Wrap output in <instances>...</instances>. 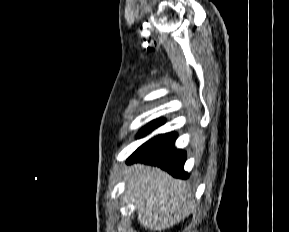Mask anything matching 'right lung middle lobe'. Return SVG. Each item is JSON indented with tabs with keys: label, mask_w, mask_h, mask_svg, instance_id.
Listing matches in <instances>:
<instances>
[{
	"label": "right lung middle lobe",
	"mask_w": 289,
	"mask_h": 232,
	"mask_svg": "<svg viewBox=\"0 0 289 232\" xmlns=\"http://www.w3.org/2000/svg\"><path fill=\"white\" fill-rule=\"evenodd\" d=\"M165 123L164 119H159L152 121L150 124H148L146 127H144L138 134V137L145 136L149 132H151L153 129L157 128L158 126L162 125Z\"/></svg>",
	"instance_id": "right-lung-middle-lobe-1"
}]
</instances>
